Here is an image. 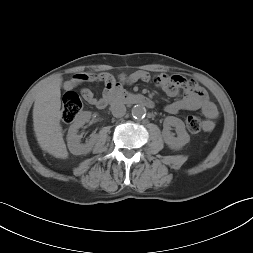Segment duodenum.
Returning a JSON list of instances; mask_svg holds the SVG:
<instances>
[{"mask_svg":"<svg viewBox=\"0 0 253 253\" xmlns=\"http://www.w3.org/2000/svg\"><path fill=\"white\" fill-rule=\"evenodd\" d=\"M108 103H123L126 105L139 104L148 108L154 107V102L147 96L127 92L116 83L106 88L103 93L100 103L101 107L104 108Z\"/></svg>","mask_w":253,"mask_h":253,"instance_id":"1","label":"duodenum"}]
</instances>
